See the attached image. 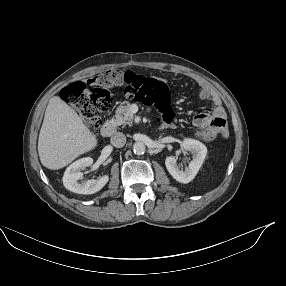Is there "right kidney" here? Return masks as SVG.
<instances>
[{"instance_id": "1", "label": "right kidney", "mask_w": 286, "mask_h": 286, "mask_svg": "<svg viewBox=\"0 0 286 286\" xmlns=\"http://www.w3.org/2000/svg\"><path fill=\"white\" fill-rule=\"evenodd\" d=\"M93 159L90 157L81 158L72 163L65 171L63 176V184L66 189L78 194H94L100 191L109 181V176L104 175L99 180H78L82 178L83 174L80 169L91 166Z\"/></svg>"}]
</instances>
